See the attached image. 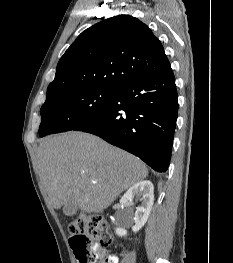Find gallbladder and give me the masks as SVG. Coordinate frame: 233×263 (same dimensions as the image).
Masks as SVG:
<instances>
[{
    "label": "gallbladder",
    "instance_id": "1",
    "mask_svg": "<svg viewBox=\"0 0 233 263\" xmlns=\"http://www.w3.org/2000/svg\"><path fill=\"white\" fill-rule=\"evenodd\" d=\"M77 211V206L73 202V199L70 198L68 203L63 207V213L66 216H73Z\"/></svg>",
    "mask_w": 233,
    "mask_h": 263
}]
</instances>
